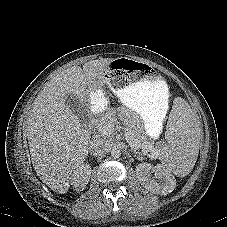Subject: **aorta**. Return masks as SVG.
Wrapping results in <instances>:
<instances>
[{"label": "aorta", "instance_id": "obj_1", "mask_svg": "<svg viewBox=\"0 0 227 227\" xmlns=\"http://www.w3.org/2000/svg\"><path fill=\"white\" fill-rule=\"evenodd\" d=\"M111 156L115 159L119 158L121 156V150L119 148H112L111 150Z\"/></svg>", "mask_w": 227, "mask_h": 227}]
</instances>
